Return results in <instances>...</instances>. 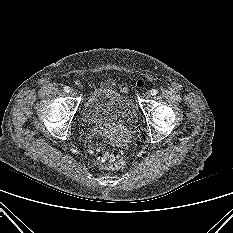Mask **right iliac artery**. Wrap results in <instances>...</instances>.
I'll return each mask as SVG.
<instances>
[{
    "label": "right iliac artery",
    "mask_w": 233,
    "mask_h": 233,
    "mask_svg": "<svg viewBox=\"0 0 233 233\" xmlns=\"http://www.w3.org/2000/svg\"><path fill=\"white\" fill-rule=\"evenodd\" d=\"M64 91H65V92H69V91H70V88H69L68 86H65V87H64Z\"/></svg>",
    "instance_id": "obj_1"
}]
</instances>
